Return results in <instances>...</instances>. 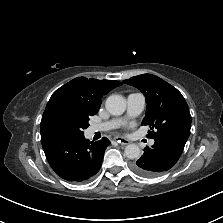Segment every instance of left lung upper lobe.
I'll return each mask as SVG.
<instances>
[{
	"instance_id": "1",
	"label": "left lung upper lobe",
	"mask_w": 223,
	"mask_h": 223,
	"mask_svg": "<svg viewBox=\"0 0 223 223\" xmlns=\"http://www.w3.org/2000/svg\"><path fill=\"white\" fill-rule=\"evenodd\" d=\"M138 88L145 96L147 109L142 125H149V138L171 136L187 141L191 115L182 94L161 78L142 74L123 81Z\"/></svg>"
}]
</instances>
